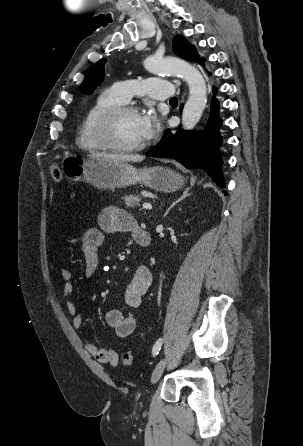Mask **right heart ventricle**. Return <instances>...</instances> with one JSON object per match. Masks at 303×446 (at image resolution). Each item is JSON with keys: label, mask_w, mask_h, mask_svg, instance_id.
<instances>
[{"label": "right heart ventricle", "mask_w": 303, "mask_h": 446, "mask_svg": "<svg viewBox=\"0 0 303 446\" xmlns=\"http://www.w3.org/2000/svg\"><path fill=\"white\" fill-rule=\"evenodd\" d=\"M123 103L124 101H122L113 88L102 91L94 99L79 125L76 137L78 147L85 151L105 149L95 136L94 128L96 120L99 114L105 109Z\"/></svg>", "instance_id": "1"}]
</instances>
